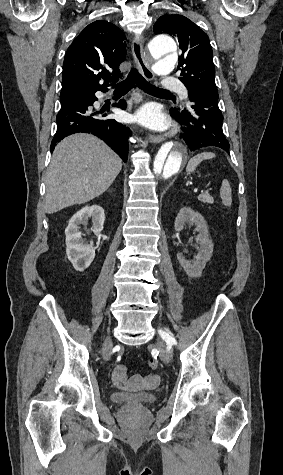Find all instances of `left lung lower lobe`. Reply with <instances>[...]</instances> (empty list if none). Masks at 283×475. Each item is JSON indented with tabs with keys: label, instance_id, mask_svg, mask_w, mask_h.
I'll use <instances>...</instances> for the list:
<instances>
[{
	"label": "left lung lower lobe",
	"instance_id": "left-lung-lower-lobe-1",
	"mask_svg": "<svg viewBox=\"0 0 283 475\" xmlns=\"http://www.w3.org/2000/svg\"><path fill=\"white\" fill-rule=\"evenodd\" d=\"M218 97L217 93L195 90L189 93L190 106L170 110L183 125L184 141L189 151L215 146L229 153V142L222 129L223 115L218 107Z\"/></svg>",
	"mask_w": 283,
	"mask_h": 475
}]
</instances>
